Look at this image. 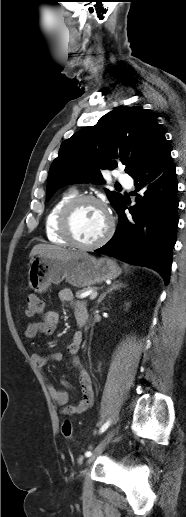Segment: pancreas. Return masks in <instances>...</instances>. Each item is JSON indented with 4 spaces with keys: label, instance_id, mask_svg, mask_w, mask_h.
I'll return each instance as SVG.
<instances>
[{
    "label": "pancreas",
    "instance_id": "cf45deb5",
    "mask_svg": "<svg viewBox=\"0 0 186 517\" xmlns=\"http://www.w3.org/2000/svg\"><path fill=\"white\" fill-rule=\"evenodd\" d=\"M96 289H97V288H95V287H93V288H92V287H86V288H83V289L78 290V291L76 292V297H77V298H80L82 294H84V293H86V292H88V291H93V292H95V291H96Z\"/></svg>",
    "mask_w": 186,
    "mask_h": 517
}]
</instances>
